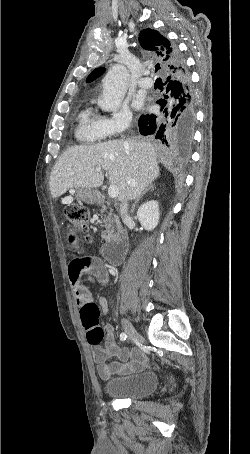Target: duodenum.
<instances>
[{
	"label": "duodenum",
	"mask_w": 250,
	"mask_h": 454,
	"mask_svg": "<svg viewBox=\"0 0 250 454\" xmlns=\"http://www.w3.org/2000/svg\"><path fill=\"white\" fill-rule=\"evenodd\" d=\"M128 234L126 231H120L113 236L106 244L102 246L103 258L112 265H120L123 261V255L127 248Z\"/></svg>",
	"instance_id": "1"
}]
</instances>
